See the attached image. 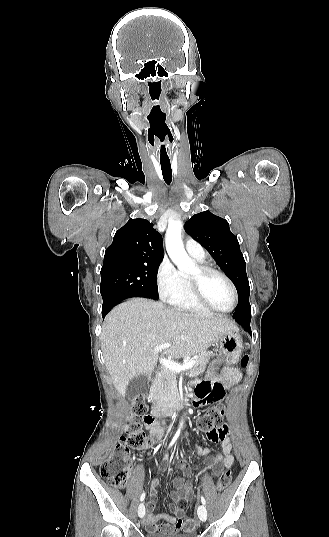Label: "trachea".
I'll return each mask as SVG.
<instances>
[{"label": "trachea", "instance_id": "trachea-1", "mask_svg": "<svg viewBox=\"0 0 329 537\" xmlns=\"http://www.w3.org/2000/svg\"><path fill=\"white\" fill-rule=\"evenodd\" d=\"M162 174L165 182L170 184L172 181V169L170 164H161Z\"/></svg>", "mask_w": 329, "mask_h": 537}]
</instances>
